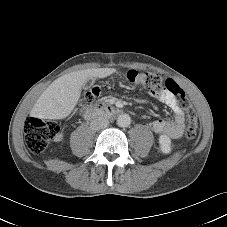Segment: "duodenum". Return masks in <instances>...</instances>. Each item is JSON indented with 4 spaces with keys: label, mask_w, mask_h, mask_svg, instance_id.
<instances>
[{
    "label": "duodenum",
    "mask_w": 227,
    "mask_h": 227,
    "mask_svg": "<svg viewBox=\"0 0 227 227\" xmlns=\"http://www.w3.org/2000/svg\"><path fill=\"white\" fill-rule=\"evenodd\" d=\"M122 113V109L107 105V104H96V105H90L85 108L84 110V117L86 119H93L98 116H116L118 114Z\"/></svg>",
    "instance_id": "1"
}]
</instances>
